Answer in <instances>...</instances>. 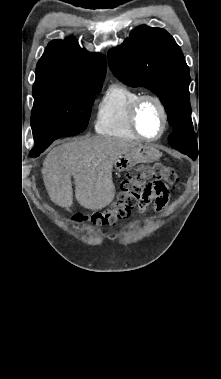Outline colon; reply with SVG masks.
Instances as JSON below:
<instances>
[{
  "mask_svg": "<svg viewBox=\"0 0 221 379\" xmlns=\"http://www.w3.org/2000/svg\"><path fill=\"white\" fill-rule=\"evenodd\" d=\"M178 182L176 170L161 163L142 165L128 171L121 184L118 199L105 211L89 215L77 214L73 217L76 223L90 222L99 226H111L129 217L131 211L148 195H163L168 186Z\"/></svg>",
  "mask_w": 221,
  "mask_h": 379,
  "instance_id": "5ec220e1",
  "label": "colon"
}]
</instances>
